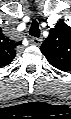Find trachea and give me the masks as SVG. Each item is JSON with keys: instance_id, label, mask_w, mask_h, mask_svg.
<instances>
[{"instance_id": "1", "label": "trachea", "mask_w": 71, "mask_h": 119, "mask_svg": "<svg viewBox=\"0 0 71 119\" xmlns=\"http://www.w3.org/2000/svg\"><path fill=\"white\" fill-rule=\"evenodd\" d=\"M29 34L34 37H39L40 36V29H39V24L36 20H33L31 23V28L29 30Z\"/></svg>"}]
</instances>
